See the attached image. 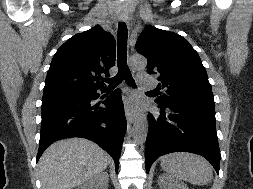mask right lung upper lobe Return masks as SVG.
<instances>
[{"instance_id":"cb5924a9","label":"right lung upper lobe","mask_w":253,"mask_h":189,"mask_svg":"<svg viewBox=\"0 0 253 189\" xmlns=\"http://www.w3.org/2000/svg\"><path fill=\"white\" fill-rule=\"evenodd\" d=\"M116 42L100 25L76 34L55 53L44 93L105 88L101 73L115 65Z\"/></svg>"}]
</instances>
